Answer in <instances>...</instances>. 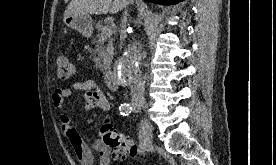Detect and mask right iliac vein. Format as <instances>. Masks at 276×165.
<instances>
[{
  "label": "right iliac vein",
  "mask_w": 276,
  "mask_h": 165,
  "mask_svg": "<svg viewBox=\"0 0 276 165\" xmlns=\"http://www.w3.org/2000/svg\"><path fill=\"white\" fill-rule=\"evenodd\" d=\"M134 107L137 109H142L146 107L145 102L139 101L134 104ZM147 131V146L146 149H149L151 147V139H152V125L151 123L146 119L144 121Z\"/></svg>",
  "instance_id": "63e3f726"
}]
</instances>
